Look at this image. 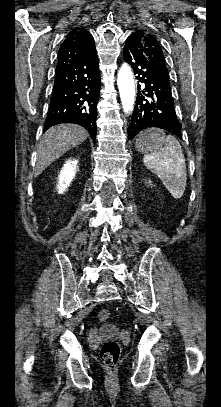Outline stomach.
<instances>
[{"label":"stomach","instance_id":"0dacf381","mask_svg":"<svg viewBox=\"0 0 221 407\" xmlns=\"http://www.w3.org/2000/svg\"><path fill=\"white\" fill-rule=\"evenodd\" d=\"M164 132L159 129H147L136 139V148L140 152L160 150L164 144Z\"/></svg>","mask_w":221,"mask_h":407}]
</instances>
